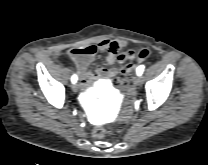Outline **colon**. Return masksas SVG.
I'll return each mask as SVG.
<instances>
[{
  "label": "colon",
  "mask_w": 208,
  "mask_h": 165,
  "mask_svg": "<svg viewBox=\"0 0 208 165\" xmlns=\"http://www.w3.org/2000/svg\"><path fill=\"white\" fill-rule=\"evenodd\" d=\"M73 54H80L83 53L81 48H75L71 51ZM150 56V51L148 49H142L138 53V58H133L132 61H128L123 66L119 67V73L121 75H127L123 80V87L124 92L126 91V88L130 87L131 89H134L136 87V80L133 76H130L131 71L141 64V60H145ZM111 134V131L105 127H96L92 135L94 138L100 139L104 138L105 136Z\"/></svg>",
  "instance_id": "colon-1"
}]
</instances>
